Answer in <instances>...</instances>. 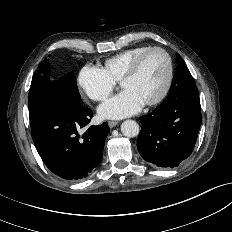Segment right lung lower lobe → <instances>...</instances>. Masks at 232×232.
I'll return each instance as SVG.
<instances>
[{
    "label": "right lung lower lobe",
    "mask_w": 232,
    "mask_h": 232,
    "mask_svg": "<svg viewBox=\"0 0 232 232\" xmlns=\"http://www.w3.org/2000/svg\"><path fill=\"white\" fill-rule=\"evenodd\" d=\"M92 114L58 86L47 100V109L39 122L31 127L32 139L43 162L63 179H84L102 160L108 124L89 126L82 136L78 133L89 124Z\"/></svg>",
    "instance_id": "98d812e1"
}]
</instances>
